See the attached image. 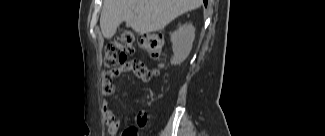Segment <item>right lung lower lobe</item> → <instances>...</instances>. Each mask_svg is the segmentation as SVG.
Returning <instances> with one entry per match:
<instances>
[{"instance_id":"right-lung-lower-lobe-1","label":"right lung lower lobe","mask_w":325,"mask_h":136,"mask_svg":"<svg viewBox=\"0 0 325 136\" xmlns=\"http://www.w3.org/2000/svg\"><path fill=\"white\" fill-rule=\"evenodd\" d=\"M204 1V4H205V6L207 5V0H203Z\"/></svg>"}]
</instances>
